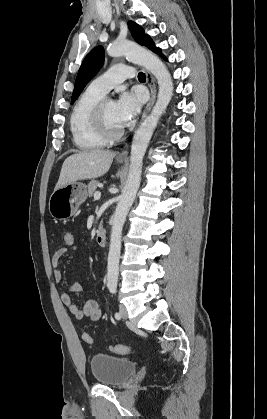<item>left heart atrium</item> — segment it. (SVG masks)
I'll return each mask as SVG.
<instances>
[{
	"mask_svg": "<svg viewBox=\"0 0 267 419\" xmlns=\"http://www.w3.org/2000/svg\"><path fill=\"white\" fill-rule=\"evenodd\" d=\"M142 96L136 91L123 92L116 101L119 121L123 126L128 125L141 109Z\"/></svg>",
	"mask_w": 267,
	"mask_h": 419,
	"instance_id": "1",
	"label": "left heart atrium"
}]
</instances>
